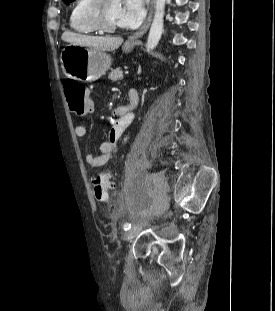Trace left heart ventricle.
I'll use <instances>...</instances> for the list:
<instances>
[{"instance_id":"1","label":"left heart ventricle","mask_w":275,"mask_h":311,"mask_svg":"<svg viewBox=\"0 0 275 311\" xmlns=\"http://www.w3.org/2000/svg\"><path fill=\"white\" fill-rule=\"evenodd\" d=\"M122 10L121 0H109L106 8V20L113 25H121L120 14Z\"/></svg>"}]
</instances>
